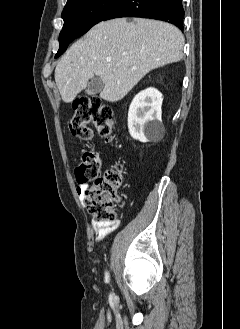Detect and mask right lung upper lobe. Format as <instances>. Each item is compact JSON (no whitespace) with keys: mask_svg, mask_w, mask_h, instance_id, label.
Masks as SVG:
<instances>
[{"mask_svg":"<svg viewBox=\"0 0 240 329\" xmlns=\"http://www.w3.org/2000/svg\"><path fill=\"white\" fill-rule=\"evenodd\" d=\"M72 1H74V0H67V4L71 3Z\"/></svg>","mask_w":240,"mask_h":329,"instance_id":"1","label":"right lung upper lobe"}]
</instances>
